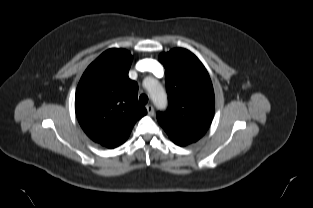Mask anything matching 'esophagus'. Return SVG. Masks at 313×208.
I'll list each match as a JSON object with an SVG mask.
<instances>
[{
	"label": "esophagus",
	"mask_w": 313,
	"mask_h": 208,
	"mask_svg": "<svg viewBox=\"0 0 313 208\" xmlns=\"http://www.w3.org/2000/svg\"><path fill=\"white\" fill-rule=\"evenodd\" d=\"M146 109H147V112H148V114L150 115V116H153L154 115V108H153V106L152 105H147L146 106Z\"/></svg>",
	"instance_id": "1"
}]
</instances>
